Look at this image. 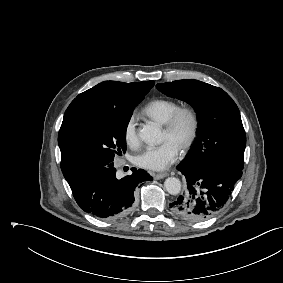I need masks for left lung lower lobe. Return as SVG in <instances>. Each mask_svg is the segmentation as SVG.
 I'll return each instance as SVG.
<instances>
[{
	"label": "left lung lower lobe",
	"instance_id": "1",
	"mask_svg": "<svg viewBox=\"0 0 283 283\" xmlns=\"http://www.w3.org/2000/svg\"><path fill=\"white\" fill-rule=\"evenodd\" d=\"M187 190L170 203L173 213L184 220L199 222L214 216L226 203L242 170L229 165H210L193 170L179 164Z\"/></svg>",
	"mask_w": 283,
	"mask_h": 283
}]
</instances>
